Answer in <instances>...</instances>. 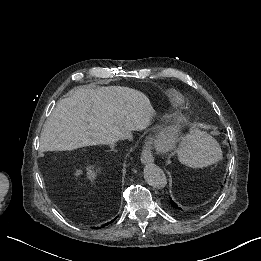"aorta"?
<instances>
[{
  "instance_id": "aorta-1",
  "label": "aorta",
  "mask_w": 261,
  "mask_h": 261,
  "mask_svg": "<svg viewBox=\"0 0 261 261\" xmlns=\"http://www.w3.org/2000/svg\"><path fill=\"white\" fill-rule=\"evenodd\" d=\"M144 178L150 186L156 189H162L167 184V179L163 170L152 163L144 167Z\"/></svg>"
}]
</instances>
